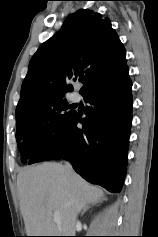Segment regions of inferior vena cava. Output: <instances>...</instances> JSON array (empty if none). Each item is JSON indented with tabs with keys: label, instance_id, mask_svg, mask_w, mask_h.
<instances>
[{
	"label": "inferior vena cava",
	"instance_id": "obj_1",
	"mask_svg": "<svg viewBox=\"0 0 158 237\" xmlns=\"http://www.w3.org/2000/svg\"><path fill=\"white\" fill-rule=\"evenodd\" d=\"M65 166H66V168H68V169H72V167H71V165H70L69 162H66V163H65Z\"/></svg>",
	"mask_w": 158,
	"mask_h": 237
}]
</instances>
